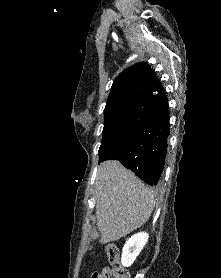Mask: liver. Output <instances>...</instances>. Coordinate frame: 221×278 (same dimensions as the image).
Returning a JSON list of instances; mask_svg holds the SVG:
<instances>
[{
    "label": "liver",
    "mask_w": 221,
    "mask_h": 278,
    "mask_svg": "<svg viewBox=\"0 0 221 278\" xmlns=\"http://www.w3.org/2000/svg\"><path fill=\"white\" fill-rule=\"evenodd\" d=\"M95 199L100 243L116 241L141 227L155 206L153 190L115 160L98 167Z\"/></svg>",
    "instance_id": "liver-1"
}]
</instances>
